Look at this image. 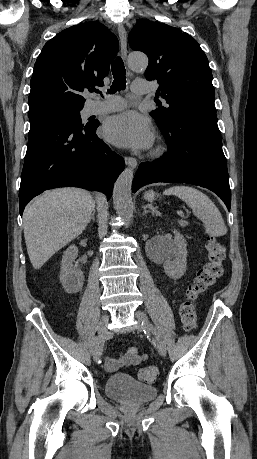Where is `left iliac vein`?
Returning a JSON list of instances; mask_svg holds the SVG:
<instances>
[{
    "mask_svg": "<svg viewBox=\"0 0 257 459\" xmlns=\"http://www.w3.org/2000/svg\"><path fill=\"white\" fill-rule=\"evenodd\" d=\"M135 318L138 321L136 328L138 331H146L148 330L149 326V320L148 317L141 311H136L135 312ZM156 348L161 356L166 355V346L165 343L157 338L156 339Z\"/></svg>",
    "mask_w": 257,
    "mask_h": 459,
    "instance_id": "4c4485c4",
    "label": "left iliac vein"
}]
</instances>
